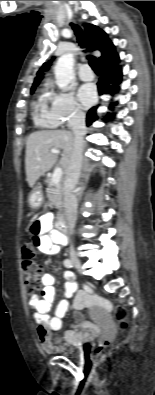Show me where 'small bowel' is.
<instances>
[{
    "mask_svg": "<svg viewBox=\"0 0 155 395\" xmlns=\"http://www.w3.org/2000/svg\"><path fill=\"white\" fill-rule=\"evenodd\" d=\"M52 214H44L37 219L31 228L33 243L36 248L45 254L56 255L60 248L67 243L66 237L58 232H52ZM65 296H74L73 308L76 321L71 330L63 335L52 337V332L62 329V319L65 316L69 303L66 299L60 300L54 311V316L49 315L52 303L56 299L55 279L49 273L41 277L43 289L40 295H32L29 300L30 307L34 310L33 319L36 324V333L42 348L47 352H55L61 342L71 345H82L90 340L99 330V327L89 321L81 319L80 311L85 307H91L98 315L109 310L111 304L108 300L86 292H77V284L72 273H66Z\"/></svg>",
    "mask_w": 155,
    "mask_h": 395,
    "instance_id": "1",
    "label": "small bowel"
}]
</instances>
